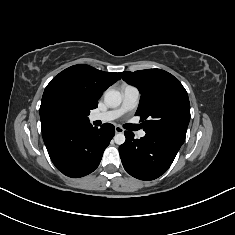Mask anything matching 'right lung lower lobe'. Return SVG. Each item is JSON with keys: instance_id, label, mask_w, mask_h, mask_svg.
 <instances>
[{"instance_id": "right-lung-lower-lobe-1", "label": "right lung lower lobe", "mask_w": 235, "mask_h": 235, "mask_svg": "<svg viewBox=\"0 0 235 235\" xmlns=\"http://www.w3.org/2000/svg\"><path fill=\"white\" fill-rule=\"evenodd\" d=\"M114 134L112 124L105 123L98 129L93 128L89 121L42 131L53 164L72 178L88 175L98 167Z\"/></svg>"}]
</instances>
